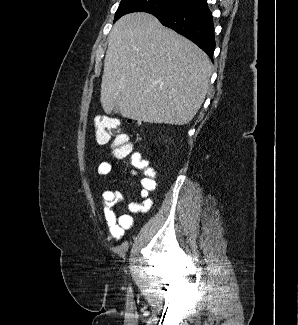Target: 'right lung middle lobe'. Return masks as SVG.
I'll return each mask as SVG.
<instances>
[{
	"label": "right lung middle lobe",
	"mask_w": 298,
	"mask_h": 325,
	"mask_svg": "<svg viewBox=\"0 0 298 325\" xmlns=\"http://www.w3.org/2000/svg\"><path fill=\"white\" fill-rule=\"evenodd\" d=\"M193 0H122L116 13L115 19L132 12H147L153 15L168 13L180 9Z\"/></svg>",
	"instance_id": "1"
}]
</instances>
